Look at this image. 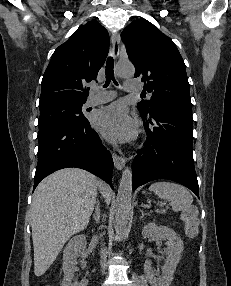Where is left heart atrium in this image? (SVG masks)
Listing matches in <instances>:
<instances>
[{"label":"left heart atrium","instance_id":"1","mask_svg":"<svg viewBox=\"0 0 231 286\" xmlns=\"http://www.w3.org/2000/svg\"><path fill=\"white\" fill-rule=\"evenodd\" d=\"M97 130L112 142H125L135 135V122L122 103L111 104L99 110L94 117Z\"/></svg>","mask_w":231,"mask_h":286}]
</instances>
